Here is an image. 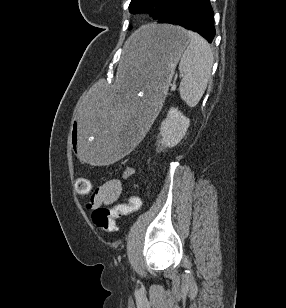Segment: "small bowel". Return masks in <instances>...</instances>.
Masks as SVG:
<instances>
[{
	"label": "small bowel",
	"instance_id": "1",
	"mask_svg": "<svg viewBox=\"0 0 286 308\" xmlns=\"http://www.w3.org/2000/svg\"><path fill=\"white\" fill-rule=\"evenodd\" d=\"M134 174L133 168H127L123 173V179H127ZM122 192V179H109L98 186L91 194L86 204L87 209H94L102 205L110 206L114 204Z\"/></svg>",
	"mask_w": 286,
	"mask_h": 308
}]
</instances>
